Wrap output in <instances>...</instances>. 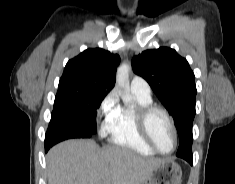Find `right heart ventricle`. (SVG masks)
Wrapping results in <instances>:
<instances>
[{
  "label": "right heart ventricle",
  "instance_id": "1",
  "mask_svg": "<svg viewBox=\"0 0 235 184\" xmlns=\"http://www.w3.org/2000/svg\"><path fill=\"white\" fill-rule=\"evenodd\" d=\"M138 107L152 104V99L136 95ZM107 152L114 158H120L126 153L154 156L147 141L141 135L136 122V110L128 107H120L116 114L111 138L106 146Z\"/></svg>",
  "mask_w": 235,
  "mask_h": 184
}]
</instances>
